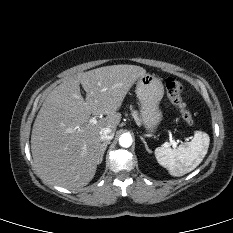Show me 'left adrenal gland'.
Masks as SVG:
<instances>
[{"label":"left adrenal gland","mask_w":233,"mask_h":233,"mask_svg":"<svg viewBox=\"0 0 233 233\" xmlns=\"http://www.w3.org/2000/svg\"><path fill=\"white\" fill-rule=\"evenodd\" d=\"M140 138H141L142 142L144 143L147 152H148V153H151V150L149 149V147H148V145H147L145 139H144L143 137H141V136H140Z\"/></svg>","instance_id":"a2214340"}]
</instances>
